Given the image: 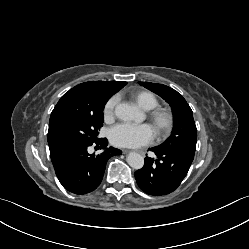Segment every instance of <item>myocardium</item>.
Returning <instances> with one entry per match:
<instances>
[{"label": "myocardium", "instance_id": "obj_1", "mask_svg": "<svg viewBox=\"0 0 249 249\" xmlns=\"http://www.w3.org/2000/svg\"><path fill=\"white\" fill-rule=\"evenodd\" d=\"M149 119L154 125L159 135H167L171 132L174 125L173 113L165 108H154L149 113Z\"/></svg>", "mask_w": 249, "mask_h": 249}]
</instances>
